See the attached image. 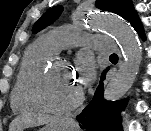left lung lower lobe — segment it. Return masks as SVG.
<instances>
[{"mask_svg": "<svg viewBox=\"0 0 151 131\" xmlns=\"http://www.w3.org/2000/svg\"><path fill=\"white\" fill-rule=\"evenodd\" d=\"M142 39L145 38L142 24L136 15L130 22ZM105 72L102 74L101 81L97 87L94 97L89 105L77 116V121L82 129L90 131H121V117L119 112L122 111L127 100L116 102L106 101L103 98V80Z\"/></svg>", "mask_w": 151, "mask_h": 131, "instance_id": "1", "label": "left lung lower lobe"}]
</instances>
